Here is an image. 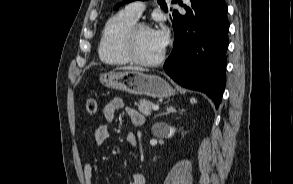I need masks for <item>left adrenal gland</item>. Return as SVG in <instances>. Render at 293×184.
Instances as JSON below:
<instances>
[{"mask_svg":"<svg viewBox=\"0 0 293 184\" xmlns=\"http://www.w3.org/2000/svg\"><path fill=\"white\" fill-rule=\"evenodd\" d=\"M175 112H176V109H175L174 107H172V106H167V108H166V112L161 113V114H158V115H156V117H158V116L168 115V114H170V113H175Z\"/></svg>","mask_w":293,"mask_h":184,"instance_id":"1","label":"left adrenal gland"}]
</instances>
